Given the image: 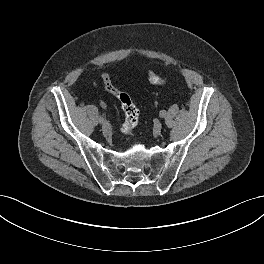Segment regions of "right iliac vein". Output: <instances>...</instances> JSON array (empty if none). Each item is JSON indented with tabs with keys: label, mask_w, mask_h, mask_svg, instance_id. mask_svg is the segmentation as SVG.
Instances as JSON below:
<instances>
[{
	"label": "right iliac vein",
	"mask_w": 264,
	"mask_h": 264,
	"mask_svg": "<svg viewBox=\"0 0 264 264\" xmlns=\"http://www.w3.org/2000/svg\"><path fill=\"white\" fill-rule=\"evenodd\" d=\"M102 127H103L104 130L108 129L109 123L107 121H103L102 122Z\"/></svg>",
	"instance_id": "1"
}]
</instances>
